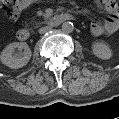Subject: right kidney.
Here are the masks:
<instances>
[{"instance_id":"1","label":"right kidney","mask_w":119,"mask_h":119,"mask_svg":"<svg viewBox=\"0 0 119 119\" xmlns=\"http://www.w3.org/2000/svg\"><path fill=\"white\" fill-rule=\"evenodd\" d=\"M16 48L20 51L14 54ZM31 55V50L26 43L13 42L2 51L1 61L11 69H18L29 62Z\"/></svg>"}]
</instances>
